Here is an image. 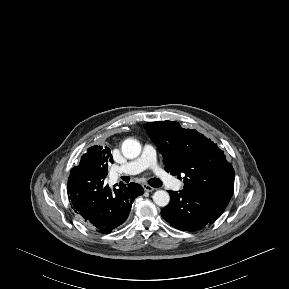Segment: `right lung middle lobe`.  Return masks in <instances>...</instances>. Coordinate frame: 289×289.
<instances>
[{
    "label": "right lung middle lobe",
    "mask_w": 289,
    "mask_h": 289,
    "mask_svg": "<svg viewBox=\"0 0 289 289\" xmlns=\"http://www.w3.org/2000/svg\"><path fill=\"white\" fill-rule=\"evenodd\" d=\"M100 165H101V164H99V166H100ZM107 174H108V169H107V167H105V168L101 171L100 177L105 178V177L107 176Z\"/></svg>",
    "instance_id": "obj_1"
}]
</instances>
